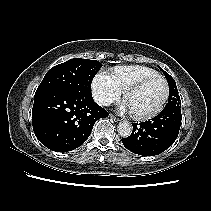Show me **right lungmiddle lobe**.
Listing matches in <instances>:
<instances>
[{
	"mask_svg": "<svg viewBox=\"0 0 211 211\" xmlns=\"http://www.w3.org/2000/svg\"><path fill=\"white\" fill-rule=\"evenodd\" d=\"M102 67L97 60L74 58L52 67L43 78L36 94L52 90L91 93V83Z\"/></svg>",
	"mask_w": 211,
	"mask_h": 211,
	"instance_id": "dd1d6c3e",
	"label": "right lung middle lobe"
}]
</instances>
